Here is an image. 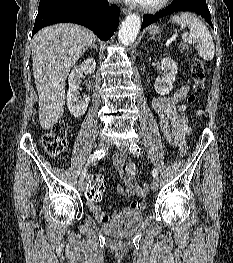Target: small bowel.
I'll use <instances>...</instances> for the list:
<instances>
[{"label":"small bowel","mask_w":233,"mask_h":263,"mask_svg":"<svg viewBox=\"0 0 233 263\" xmlns=\"http://www.w3.org/2000/svg\"><path fill=\"white\" fill-rule=\"evenodd\" d=\"M189 91V86L184 85L169 96H158L152 100V108L159 118V124L164 138L173 146H176L179 152L187 147V137L191 133L188 122L182 116L186 109L183 103L185 96ZM113 166L119 173L125 186L118 185L117 193L119 197L137 196L138 200L130 204V209L141 210L145 207L144 192L137 183L136 169L132 164H126V155L117 153L113 156ZM132 166V170L130 169ZM93 175L94 174L93 172ZM101 175V174H97ZM88 206L94 217L102 222H108L115 217L106 214L97 202H88Z\"/></svg>","instance_id":"c3829d8e"}]
</instances>
